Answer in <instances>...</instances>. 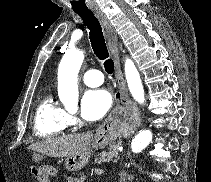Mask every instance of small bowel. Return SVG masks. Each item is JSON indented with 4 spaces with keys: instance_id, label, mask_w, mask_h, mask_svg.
Instances as JSON below:
<instances>
[{
    "instance_id": "1",
    "label": "small bowel",
    "mask_w": 211,
    "mask_h": 182,
    "mask_svg": "<svg viewBox=\"0 0 211 182\" xmlns=\"http://www.w3.org/2000/svg\"><path fill=\"white\" fill-rule=\"evenodd\" d=\"M67 182H83L81 178L69 177Z\"/></svg>"
}]
</instances>
